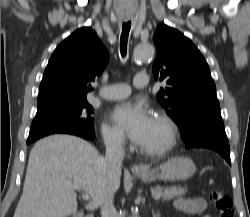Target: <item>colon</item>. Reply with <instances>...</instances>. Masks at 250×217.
<instances>
[{"mask_svg": "<svg viewBox=\"0 0 250 217\" xmlns=\"http://www.w3.org/2000/svg\"><path fill=\"white\" fill-rule=\"evenodd\" d=\"M211 199L218 211L219 217H234L233 203L228 194L219 189L211 192Z\"/></svg>", "mask_w": 250, "mask_h": 217, "instance_id": "colon-1", "label": "colon"}]
</instances>
